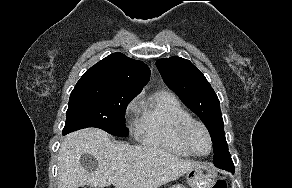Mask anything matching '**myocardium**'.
Returning <instances> with one entry per match:
<instances>
[{"label":"myocardium","mask_w":292,"mask_h":188,"mask_svg":"<svg viewBox=\"0 0 292 188\" xmlns=\"http://www.w3.org/2000/svg\"><path fill=\"white\" fill-rule=\"evenodd\" d=\"M195 126L200 127L205 132V134L207 135V138L209 140V150L205 154L198 153L192 147V145L189 141L190 131ZM179 137H180V140H181L182 144L184 145V147L193 155L201 156V157L207 156L211 153V151L213 149V140H212V136H211V133H210L208 127L203 122L196 120L194 118H190L181 124V126L179 128Z\"/></svg>","instance_id":"f54148a6"}]
</instances>
